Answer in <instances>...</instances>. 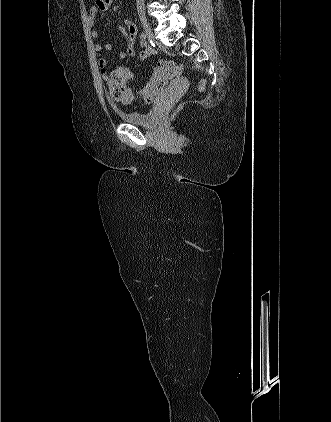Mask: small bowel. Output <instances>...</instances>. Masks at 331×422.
<instances>
[{
    "label": "small bowel",
    "instance_id": "1",
    "mask_svg": "<svg viewBox=\"0 0 331 422\" xmlns=\"http://www.w3.org/2000/svg\"><path fill=\"white\" fill-rule=\"evenodd\" d=\"M115 1L116 0H94V3L91 6L89 10V15H88V22L92 28L91 36L93 38H98L99 36L98 30L94 28L96 19L99 18L100 20H103L106 17L107 11L115 3ZM123 22L125 26H117L116 30H118L122 34L125 40V45H126L125 50L122 51L119 56L121 59H126L128 57L135 56L134 42H135V38L137 34V28L134 25V23L127 18L123 19ZM141 48L142 49L140 51L139 57L141 60H145L151 55L152 50L148 46V44L144 41L141 42ZM110 50H112L111 43H106L104 45L100 43L95 44V51L97 54L98 66L100 68V72L103 79L107 83L109 81L110 74H108L107 69H106L107 60L104 56V52L110 51ZM164 83H165L164 80L160 81L154 76V78L150 81L147 87L143 90L145 99L148 101L153 100V98L157 95V93H159L162 90ZM130 100L131 98L127 99L126 102Z\"/></svg>",
    "mask_w": 331,
    "mask_h": 422
}]
</instances>
